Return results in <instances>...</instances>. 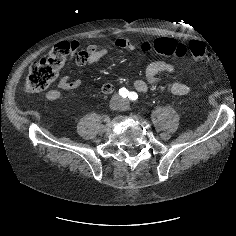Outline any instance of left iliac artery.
<instances>
[{"label":"left iliac artery","mask_w":236,"mask_h":236,"mask_svg":"<svg viewBox=\"0 0 236 236\" xmlns=\"http://www.w3.org/2000/svg\"><path fill=\"white\" fill-rule=\"evenodd\" d=\"M128 98L131 101H136L138 99V94L136 92H130Z\"/></svg>","instance_id":"1"}]
</instances>
